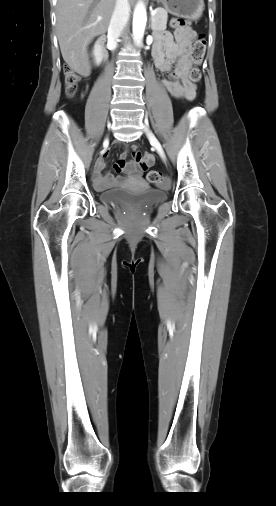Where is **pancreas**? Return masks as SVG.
Segmentation results:
<instances>
[{
	"label": "pancreas",
	"instance_id": "pancreas-1",
	"mask_svg": "<svg viewBox=\"0 0 276 506\" xmlns=\"http://www.w3.org/2000/svg\"><path fill=\"white\" fill-rule=\"evenodd\" d=\"M168 14L163 8L156 9L155 15L151 19L153 31H163L166 29Z\"/></svg>",
	"mask_w": 276,
	"mask_h": 506
}]
</instances>
